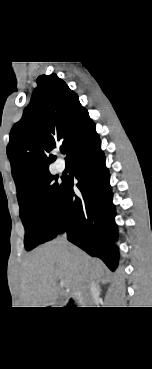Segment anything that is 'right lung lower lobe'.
I'll list each match as a JSON object with an SVG mask.
<instances>
[{
	"mask_svg": "<svg viewBox=\"0 0 152 369\" xmlns=\"http://www.w3.org/2000/svg\"><path fill=\"white\" fill-rule=\"evenodd\" d=\"M68 157L75 169L76 186L81 195L74 193L71 178L63 179L58 203L59 223L53 238L66 231L70 242L89 255L99 257L114 271L119 258L114 244L116 212L110 175L96 130L78 142Z\"/></svg>",
	"mask_w": 152,
	"mask_h": 369,
	"instance_id": "1",
	"label": "right lung lower lobe"
}]
</instances>
